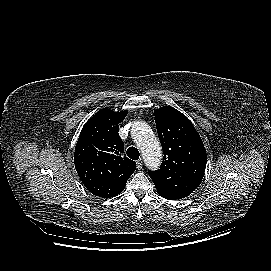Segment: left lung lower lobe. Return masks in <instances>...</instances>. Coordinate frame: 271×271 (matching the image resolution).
<instances>
[{"label": "left lung lower lobe", "mask_w": 271, "mask_h": 271, "mask_svg": "<svg viewBox=\"0 0 271 271\" xmlns=\"http://www.w3.org/2000/svg\"><path fill=\"white\" fill-rule=\"evenodd\" d=\"M198 186L180 177H173L167 191L158 192L160 196L169 200L184 198L191 194Z\"/></svg>", "instance_id": "obj_1"}]
</instances>
